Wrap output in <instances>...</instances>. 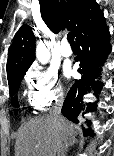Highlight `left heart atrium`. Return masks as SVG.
<instances>
[{
  "label": "left heart atrium",
  "mask_w": 114,
  "mask_h": 156,
  "mask_svg": "<svg viewBox=\"0 0 114 156\" xmlns=\"http://www.w3.org/2000/svg\"><path fill=\"white\" fill-rule=\"evenodd\" d=\"M65 75L68 76V77L71 75V71H70L69 68L65 69Z\"/></svg>",
  "instance_id": "39dd6f15"
}]
</instances>
